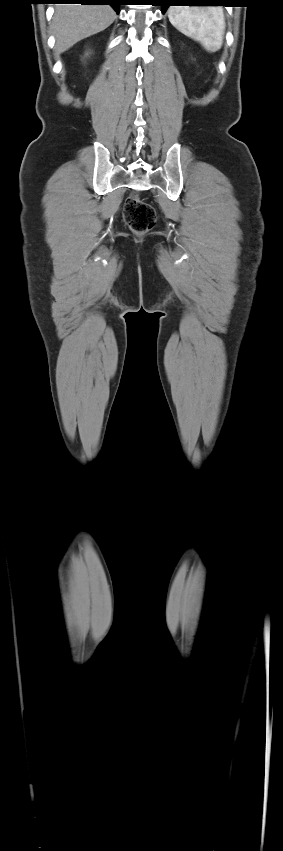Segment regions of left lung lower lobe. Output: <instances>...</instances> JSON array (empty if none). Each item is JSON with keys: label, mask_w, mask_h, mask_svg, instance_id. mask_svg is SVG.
<instances>
[{"label": "left lung lower lobe", "mask_w": 283, "mask_h": 851, "mask_svg": "<svg viewBox=\"0 0 283 851\" xmlns=\"http://www.w3.org/2000/svg\"><path fill=\"white\" fill-rule=\"evenodd\" d=\"M227 0H158L159 6H162V13H165L167 8L171 5H219L223 6V3Z\"/></svg>", "instance_id": "1"}]
</instances>
